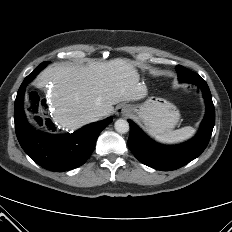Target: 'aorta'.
Masks as SVG:
<instances>
[{
	"instance_id": "762f6f07",
	"label": "aorta",
	"mask_w": 232,
	"mask_h": 232,
	"mask_svg": "<svg viewBox=\"0 0 232 232\" xmlns=\"http://www.w3.org/2000/svg\"><path fill=\"white\" fill-rule=\"evenodd\" d=\"M115 130L120 134H125L129 131V123L124 119H118L114 124Z\"/></svg>"
}]
</instances>
